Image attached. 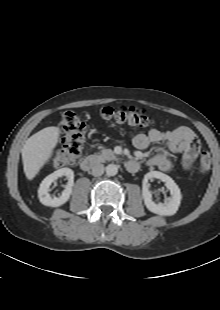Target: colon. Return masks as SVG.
Here are the masks:
<instances>
[{
  "instance_id": "obj_1",
  "label": "colon",
  "mask_w": 220,
  "mask_h": 310,
  "mask_svg": "<svg viewBox=\"0 0 220 310\" xmlns=\"http://www.w3.org/2000/svg\"><path fill=\"white\" fill-rule=\"evenodd\" d=\"M102 116L117 123L137 127H147L153 123L146 111L128 107H104ZM63 131L62 147L56 152L53 163L57 167L73 164L79 159L85 142L86 124L71 110H67L61 117ZM212 165V155L203 151L200 156L198 170L201 173L209 171Z\"/></svg>"
}]
</instances>
